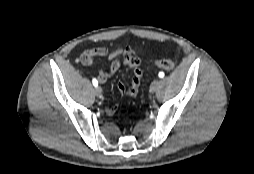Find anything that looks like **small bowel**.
Returning a JSON list of instances; mask_svg holds the SVG:
<instances>
[{
  "mask_svg": "<svg viewBox=\"0 0 254 174\" xmlns=\"http://www.w3.org/2000/svg\"><path fill=\"white\" fill-rule=\"evenodd\" d=\"M98 56H108V58L112 61L108 71L101 70L99 72V82L105 83L122 64H126L133 69L130 85L127 89H125L124 85L119 83V88L129 96H135L139 91L140 82L143 76V71L140 68L141 60L139 55L127 45L118 46L115 49H110L107 46H100L84 51L80 55L79 60L82 64L89 65L94 61V58ZM115 111V107L106 108V113L108 115H113Z\"/></svg>",
  "mask_w": 254,
  "mask_h": 174,
  "instance_id": "1",
  "label": "small bowel"
}]
</instances>
